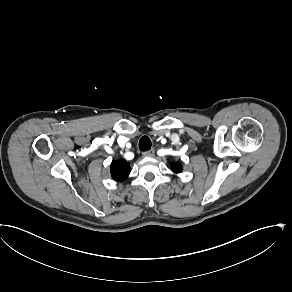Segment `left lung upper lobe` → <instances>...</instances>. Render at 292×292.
<instances>
[{
	"label": "left lung upper lobe",
	"instance_id": "1",
	"mask_svg": "<svg viewBox=\"0 0 292 292\" xmlns=\"http://www.w3.org/2000/svg\"><path fill=\"white\" fill-rule=\"evenodd\" d=\"M171 167H172L173 171L176 172V173H179V172L182 171V166L178 162L177 163H172Z\"/></svg>",
	"mask_w": 292,
	"mask_h": 292
}]
</instances>
